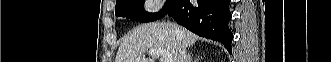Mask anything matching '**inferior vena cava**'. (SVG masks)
<instances>
[{
    "instance_id": "obj_1",
    "label": "inferior vena cava",
    "mask_w": 331,
    "mask_h": 62,
    "mask_svg": "<svg viewBox=\"0 0 331 62\" xmlns=\"http://www.w3.org/2000/svg\"><path fill=\"white\" fill-rule=\"evenodd\" d=\"M186 55V48L183 44H179V51H178V60L177 62H186L187 60Z\"/></svg>"
}]
</instances>
